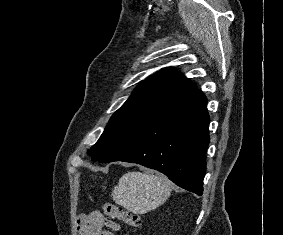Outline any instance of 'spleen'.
Returning <instances> with one entry per match:
<instances>
[{
	"label": "spleen",
	"mask_w": 283,
	"mask_h": 235,
	"mask_svg": "<svg viewBox=\"0 0 283 235\" xmlns=\"http://www.w3.org/2000/svg\"><path fill=\"white\" fill-rule=\"evenodd\" d=\"M171 194V182L162 175L128 172L112 193L113 201L136 214H145L162 205Z\"/></svg>",
	"instance_id": "1"
}]
</instances>
